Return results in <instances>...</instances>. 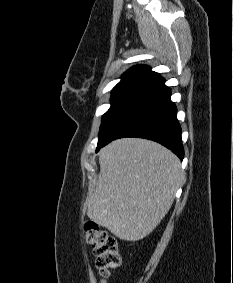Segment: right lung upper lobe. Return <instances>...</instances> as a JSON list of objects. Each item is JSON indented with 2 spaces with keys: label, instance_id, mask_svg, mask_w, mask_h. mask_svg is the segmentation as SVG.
<instances>
[{
  "label": "right lung upper lobe",
  "instance_id": "cb5924a9",
  "mask_svg": "<svg viewBox=\"0 0 233 283\" xmlns=\"http://www.w3.org/2000/svg\"><path fill=\"white\" fill-rule=\"evenodd\" d=\"M158 78H160V75L152 71L149 66L136 65L122 75L121 81L117 85L133 81H147L152 83Z\"/></svg>",
  "mask_w": 233,
  "mask_h": 283
}]
</instances>
